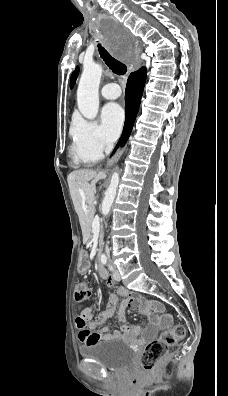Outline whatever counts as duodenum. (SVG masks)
<instances>
[{
	"label": "duodenum",
	"mask_w": 228,
	"mask_h": 396,
	"mask_svg": "<svg viewBox=\"0 0 228 396\" xmlns=\"http://www.w3.org/2000/svg\"><path fill=\"white\" fill-rule=\"evenodd\" d=\"M100 253H101V250L98 251L99 260H101ZM98 273L104 279L108 277V273H107L106 269L101 264H98Z\"/></svg>",
	"instance_id": "duodenum-1"
}]
</instances>
